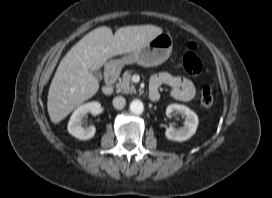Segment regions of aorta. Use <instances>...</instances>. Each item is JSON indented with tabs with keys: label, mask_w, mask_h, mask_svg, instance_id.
<instances>
[{
	"label": "aorta",
	"mask_w": 272,
	"mask_h": 198,
	"mask_svg": "<svg viewBox=\"0 0 272 198\" xmlns=\"http://www.w3.org/2000/svg\"><path fill=\"white\" fill-rule=\"evenodd\" d=\"M130 111L134 114H142L144 111V105L140 100H133L130 103Z\"/></svg>",
	"instance_id": "1"
}]
</instances>
